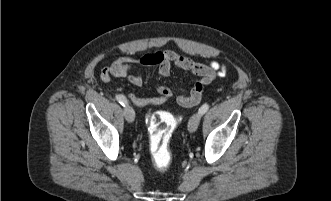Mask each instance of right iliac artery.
<instances>
[{"label":"right iliac artery","mask_w":331,"mask_h":201,"mask_svg":"<svg viewBox=\"0 0 331 201\" xmlns=\"http://www.w3.org/2000/svg\"><path fill=\"white\" fill-rule=\"evenodd\" d=\"M116 100L123 106H125L127 104V99L124 95H116Z\"/></svg>","instance_id":"right-iliac-artery-1"}]
</instances>
